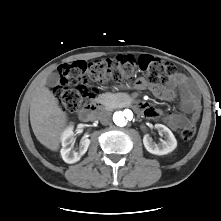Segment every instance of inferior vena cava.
<instances>
[{
    "label": "inferior vena cava",
    "mask_w": 221,
    "mask_h": 221,
    "mask_svg": "<svg viewBox=\"0 0 221 221\" xmlns=\"http://www.w3.org/2000/svg\"><path fill=\"white\" fill-rule=\"evenodd\" d=\"M97 118L103 125H107L111 122V113L109 111L103 110L98 113Z\"/></svg>",
    "instance_id": "602c4592"
}]
</instances>
